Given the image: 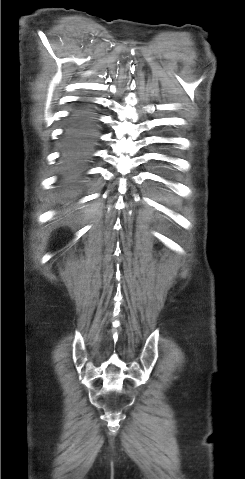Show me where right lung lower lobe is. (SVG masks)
Listing matches in <instances>:
<instances>
[{
  "mask_svg": "<svg viewBox=\"0 0 245 479\" xmlns=\"http://www.w3.org/2000/svg\"><path fill=\"white\" fill-rule=\"evenodd\" d=\"M98 136L97 110L82 101L68 116L62 138L59 185L65 194L79 189Z\"/></svg>",
  "mask_w": 245,
  "mask_h": 479,
  "instance_id": "1",
  "label": "right lung lower lobe"
}]
</instances>
